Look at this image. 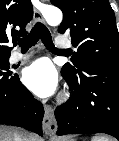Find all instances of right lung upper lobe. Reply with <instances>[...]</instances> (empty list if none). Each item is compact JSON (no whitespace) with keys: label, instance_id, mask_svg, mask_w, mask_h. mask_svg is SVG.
<instances>
[{"label":"right lung upper lobe","instance_id":"1","mask_svg":"<svg viewBox=\"0 0 119 141\" xmlns=\"http://www.w3.org/2000/svg\"><path fill=\"white\" fill-rule=\"evenodd\" d=\"M33 17L30 0H0V57H9L17 37L27 34L25 27Z\"/></svg>","mask_w":119,"mask_h":141}]
</instances>
